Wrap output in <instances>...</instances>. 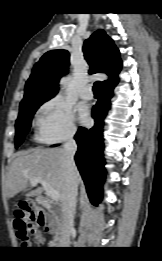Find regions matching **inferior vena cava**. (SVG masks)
<instances>
[{
    "instance_id": "inferior-vena-cava-1",
    "label": "inferior vena cava",
    "mask_w": 162,
    "mask_h": 261,
    "mask_svg": "<svg viewBox=\"0 0 162 261\" xmlns=\"http://www.w3.org/2000/svg\"><path fill=\"white\" fill-rule=\"evenodd\" d=\"M77 151L75 140L70 137L64 144L66 164V191L61 204L62 236L61 246H67L70 239V229L73 224L74 206L78 193V170L74 162V155Z\"/></svg>"
}]
</instances>
